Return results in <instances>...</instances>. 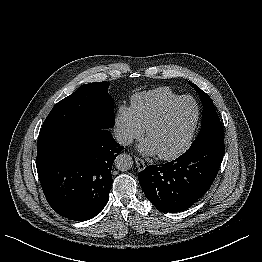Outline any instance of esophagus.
Listing matches in <instances>:
<instances>
[{"instance_id":"obj_1","label":"esophagus","mask_w":262,"mask_h":262,"mask_svg":"<svg viewBox=\"0 0 262 262\" xmlns=\"http://www.w3.org/2000/svg\"><path fill=\"white\" fill-rule=\"evenodd\" d=\"M135 162L139 171L144 170L146 168V164L144 160H142L141 158L135 157Z\"/></svg>"}]
</instances>
